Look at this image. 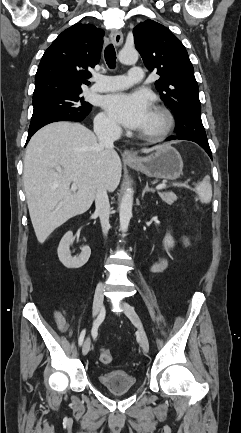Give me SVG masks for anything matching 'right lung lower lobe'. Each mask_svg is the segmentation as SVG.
<instances>
[{
	"label": "right lung lower lobe",
	"instance_id": "98d812e1",
	"mask_svg": "<svg viewBox=\"0 0 241 433\" xmlns=\"http://www.w3.org/2000/svg\"><path fill=\"white\" fill-rule=\"evenodd\" d=\"M87 116V115H86ZM86 116H71V115H63V116H59L56 118H53L43 124H41L40 126H38L37 128L31 130L28 132V137H27V141L26 143H28V141L30 140L31 136L37 131L39 130L41 127L52 123V122H57V121H75V122H80L82 121Z\"/></svg>",
	"mask_w": 241,
	"mask_h": 433
}]
</instances>
